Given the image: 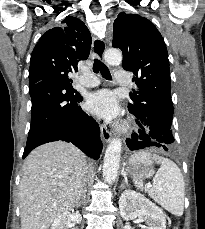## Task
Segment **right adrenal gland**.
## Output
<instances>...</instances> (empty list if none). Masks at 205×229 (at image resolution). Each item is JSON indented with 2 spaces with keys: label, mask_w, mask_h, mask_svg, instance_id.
Wrapping results in <instances>:
<instances>
[{
  "label": "right adrenal gland",
  "mask_w": 205,
  "mask_h": 229,
  "mask_svg": "<svg viewBox=\"0 0 205 229\" xmlns=\"http://www.w3.org/2000/svg\"><path fill=\"white\" fill-rule=\"evenodd\" d=\"M85 198H86V189H84L83 192H82V196H81V199H80V201L78 203V206L83 204V202L85 201Z\"/></svg>",
  "instance_id": "obj_1"
}]
</instances>
